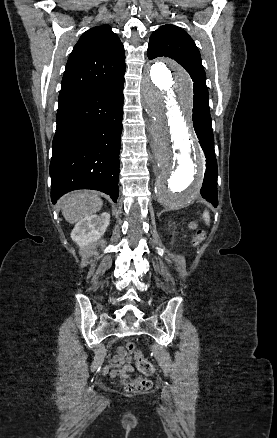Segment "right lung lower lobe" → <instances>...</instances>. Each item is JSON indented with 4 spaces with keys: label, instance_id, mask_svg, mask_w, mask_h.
<instances>
[{
    "label": "right lung lower lobe",
    "instance_id": "obj_1",
    "mask_svg": "<svg viewBox=\"0 0 277 438\" xmlns=\"http://www.w3.org/2000/svg\"><path fill=\"white\" fill-rule=\"evenodd\" d=\"M124 73L59 101L50 163L53 203L76 189L99 190L116 202Z\"/></svg>",
    "mask_w": 277,
    "mask_h": 438
}]
</instances>
